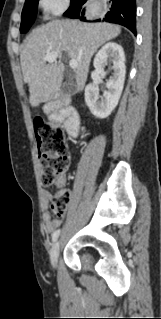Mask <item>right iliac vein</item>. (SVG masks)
Masks as SVG:
<instances>
[{
    "label": "right iliac vein",
    "instance_id": "obj_1",
    "mask_svg": "<svg viewBox=\"0 0 161 319\" xmlns=\"http://www.w3.org/2000/svg\"><path fill=\"white\" fill-rule=\"evenodd\" d=\"M60 241H56L54 245L52 246L51 252H50V259H51V264L53 267H56L57 265V260L59 257L60 253Z\"/></svg>",
    "mask_w": 161,
    "mask_h": 319
}]
</instances>
